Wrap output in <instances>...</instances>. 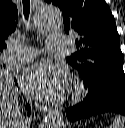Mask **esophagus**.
<instances>
[{
  "label": "esophagus",
  "mask_w": 125,
  "mask_h": 128,
  "mask_svg": "<svg viewBox=\"0 0 125 128\" xmlns=\"http://www.w3.org/2000/svg\"><path fill=\"white\" fill-rule=\"evenodd\" d=\"M36 108H37L39 111L43 112V113H47V112L49 111V107H48L47 105H44V104H39V103H37V104H36Z\"/></svg>",
  "instance_id": "34e87169"
}]
</instances>
